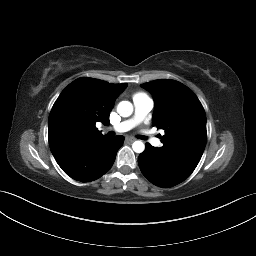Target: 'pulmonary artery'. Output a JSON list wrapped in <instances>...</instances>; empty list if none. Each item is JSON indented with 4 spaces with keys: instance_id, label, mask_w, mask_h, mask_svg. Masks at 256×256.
I'll list each match as a JSON object with an SVG mask.
<instances>
[{
    "instance_id": "pulmonary-artery-1",
    "label": "pulmonary artery",
    "mask_w": 256,
    "mask_h": 256,
    "mask_svg": "<svg viewBox=\"0 0 256 256\" xmlns=\"http://www.w3.org/2000/svg\"><path fill=\"white\" fill-rule=\"evenodd\" d=\"M133 104L134 116L128 120L111 126L110 128L113 131L118 133H124L131 130L132 128L140 124L153 108V101L149 97H136L133 99ZM148 140L154 146L161 145V140L158 138L149 136Z\"/></svg>"
}]
</instances>
